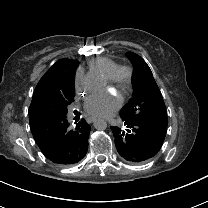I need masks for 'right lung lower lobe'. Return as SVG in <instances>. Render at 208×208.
<instances>
[{
	"label": "right lung lower lobe",
	"instance_id": "1",
	"mask_svg": "<svg viewBox=\"0 0 208 208\" xmlns=\"http://www.w3.org/2000/svg\"><path fill=\"white\" fill-rule=\"evenodd\" d=\"M29 120L37 145L53 163L75 164L86 155L91 127L84 119L73 130L68 128L66 116L43 117L32 110Z\"/></svg>",
	"mask_w": 208,
	"mask_h": 208
}]
</instances>
